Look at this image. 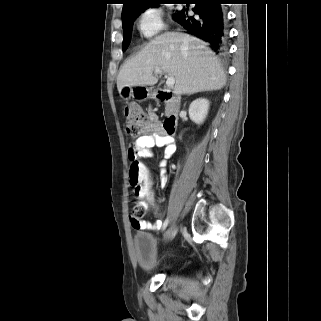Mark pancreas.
<instances>
[{
  "mask_svg": "<svg viewBox=\"0 0 321 321\" xmlns=\"http://www.w3.org/2000/svg\"><path fill=\"white\" fill-rule=\"evenodd\" d=\"M172 112H173L172 107H171L169 104H167V105H166V108H165V114H166V116H169Z\"/></svg>",
  "mask_w": 321,
  "mask_h": 321,
  "instance_id": "obj_1",
  "label": "pancreas"
}]
</instances>
